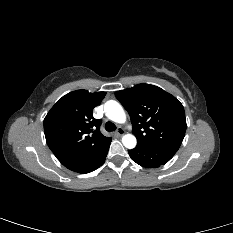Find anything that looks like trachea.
Returning a JSON list of instances; mask_svg holds the SVG:
<instances>
[{"instance_id": "obj_1", "label": "trachea", "mask_w": 233, "mask_h": 233, "mask_svg": "<svg viewBox=\"0 0 233 233\" xmlns=\"http://www.w3.org/2000/svg\"><path fill=\"white\" fill-rule=\"evenodd\" d=\"M105 129L108 131V132H111V131H115L116 130V126L114 123L112 122H107L105 124Z\"/></svg>"}]
</instances>
